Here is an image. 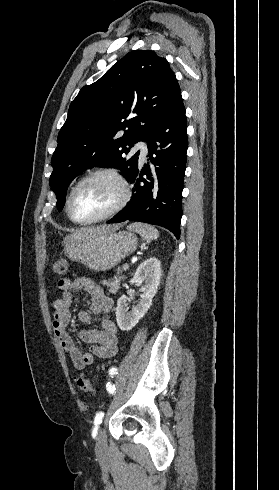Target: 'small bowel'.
<instances>
[{
	"label": "small bowel",
	"instance_id": "small-bowel-1",
	"mask_svg": "<svg viewBox=\"0 0 279 490\" xmlns=\"http://www.w3.org/2000/svg\"><path fill=\"white\" fill-rule=\"evenodd\" d=\"M58 288L61 296L52 304V331L69 355L74 368L77 370L85 368L93 362L94 357L108 359L114 356L118 348L117 328L112 319L107 316L113 307V300L101 287L87 278L60 279ZM74 292H84L90 296L89 310L78 313L81 323H89L92 314L102 316L99 328L82 329L78 332L79 338L91 346L90 352H82L66 328L71 319L69 307Z\"/></svg>",
	"mask_w": 279,
	"mask_h": 490
}]
</instances>
